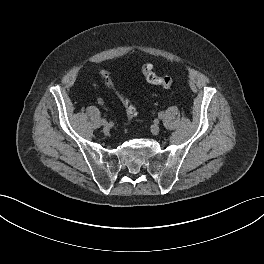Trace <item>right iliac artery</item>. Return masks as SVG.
I'll return each instance as SVG.
<instances>
[{"mask_svg":"<svg viewBox=\"0 0 264 264\" xmlns=\"http://www.w3.org/2000/svg\"><path fill=\"white\" fill-rule=\"evenodd\" d=\"M107 121L105 119H101V123L105 124Z\"/></svg>","mask_w":264,"mask_h":264,"instance_id":"obj_1","label":"right iliac artery"}]
</instances>
